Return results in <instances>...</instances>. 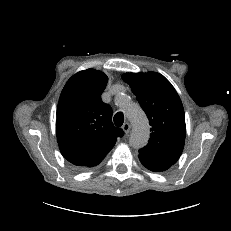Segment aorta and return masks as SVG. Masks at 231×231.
I'll use <instances>...</instances> for the list:
<instances>
[{
  "instance_id": "1",
  "label": "aorta",
  "mask_w": 231,
  "mask_h": 231,
  "mask_svg": "<svg viewBox=\"0 0 231 231\" xmlns=\"http://www.w3.org/2000/svg\"><path fill=\"white\" fill-rule=\"evenodd\" d=\"M127 99L126 96L121 97V104H125ZM126 114L132 124L130 145L135 149L146 146L150 136L147 116L137 104H127Z\"/></svg>"
}]
</instances>
